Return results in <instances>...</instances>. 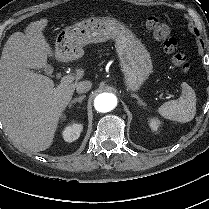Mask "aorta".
Returning <instances> with one entry per match:
<instances>
[{"label": "aorta", "mask_w": 209, "mask_h": 209, "mask_svg": "<svg viewBox=\"0 0 209 209\" xmlns=\"http://www.w3.org/2000/svg\"><path fill=\"white\" fill-rule=\"evenodd\" d=\"M117 100L112 93L98 94L94 99V108L101 113L112 111L116 106Z\"/></svg>", "instance_id": "762f6f07"}]
</instances>
